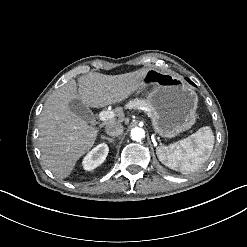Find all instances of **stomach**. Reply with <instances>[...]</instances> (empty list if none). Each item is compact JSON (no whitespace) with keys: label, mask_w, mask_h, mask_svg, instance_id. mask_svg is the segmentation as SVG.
I'll list each match as a JSON object with an SVG mask.
<instances>
[{"label":"stomach","mask_w":247,"mask_h":247,"mask_svg":"<svg viewBox=\"0 0 247 247\" xmlns=\"http://www.w3.org/2000/svg\"><path fill=\"white\" fill-rule=\"evenodd\" d=\"M147 88L146 102L157 134L172 138L195 124L198 96L182 76L148 68L138 89Z\"/></svg>","instance_id":"stomach-1"}]
</instances>
